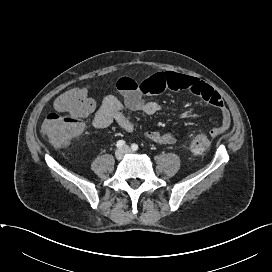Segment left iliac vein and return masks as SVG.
I'll return each mask as SVG.
<instances>
[{
    "label": "left iliac vein",
    "mask_w": 272,
    "mask_h": 272,
    "mask_svg": "<svg viewBox=\"0 0 272 272\" xmlns=\"http://www.w3.org/2000/svg\"><path fill=\"white\" fill-rule=\"evenodd\" d=\"M123 149H124L125 153H127V154L133 153L131 148H129L128 146H125Z\"/></svg>",
    "instance_id": "1"
}]
</instances>
